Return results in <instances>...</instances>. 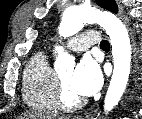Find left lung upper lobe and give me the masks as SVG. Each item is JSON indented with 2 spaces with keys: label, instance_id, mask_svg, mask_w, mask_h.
I'll return each mask as SVG.
<instances>
[{
  "label": "left lung upper lobe",
  "instance_id": "1",
  "mask_svg": "<svg viewBox=\"0 0 142 119\" xmlns=\"http://www.w3.org/2000/svg\"><path fill=\"white\" fill-rule=\"evenodd\" d=\"M95 1L100 7L112 11L114 13H117L118 9L114 0H95Z\"/></svg>",
  "mask_w": 142,
  "mask_h": 119
}]
</instances>
